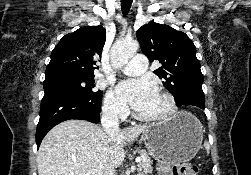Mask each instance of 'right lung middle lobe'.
I'll list each match as a JSON object with an SVG mask.
<instances>
[{"label":"right lung middle lobe","mask_w":251,"mask_h":175,"mask_svg":"<svg viewBox=\"0 0 251 175\" xmlns=\"http://www.w3.org/2000/svg\"><path fill=\"white\" fill-rule=\"evenodd\" d=\"M93 76H54L47 77L44 81V90L50 88H63L81 95L91 96L102 91H95Z\"/></svg>","instance_id":"obj_1"}]
</instances>
